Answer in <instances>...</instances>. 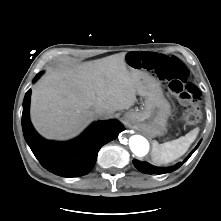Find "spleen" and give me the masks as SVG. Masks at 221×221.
Here are the masks:
<instances>
[{
  "label": "spleen",
  "instance_id": "3e777b00",
  "mask_svg": "<svg viewBox=\"0 0 221 221\" xmlns=\"http://www.w3.org/2000/svg\"><path fill=\"white\" fill-rule=\"evenodd\" d=\"M199 128H195L178 139L159 144L152 143L151 158L157 164H168L184 155L190 145L195 141Z\"/></svg>",
  "mask_w": 221,
  "mask_h": 221
}]
</instances>
